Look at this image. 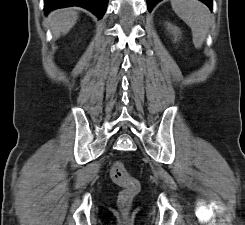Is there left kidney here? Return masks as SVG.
Returning <instances> with one entry per match:
<instances>
[{
    "mask_svg": "<svg viewBox=\"0 0 245 225\" xmlns=\"http://www.w3.org/2000/svg\"><path fill=\"white\" fill-rule=\"evenodd\" d=\"M167 30L175 37V40L181 35L180 29L170 23H167Z\"/></svg>",
    "mask_w": 245,
    "mask_h": 225,
    "instance_id": "obj_1",
    "label": "left kidney"
}]
</instances>
